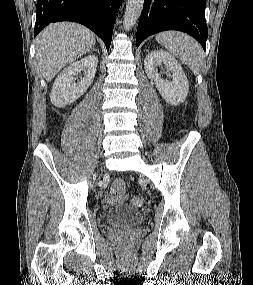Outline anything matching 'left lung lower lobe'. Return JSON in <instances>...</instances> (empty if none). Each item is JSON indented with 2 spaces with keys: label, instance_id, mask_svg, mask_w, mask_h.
I'll list each match as a JSON object with an SVG mask.
<instances>
[{
  "label": "left lung lower lobe",
  "instance_id": "1",
  "mask_svg": "<svg viewBox=\"0 0 253 285\" xmlns=\"http://www.w3.org/2000/svg\"><path fill=\"white\" fill-rule=\"evenodd\" d=\"M137 27L136 45L148 36L178 30L193 36L205 50L208 29L205 21L206 0H144Z\"/></svg>",
  "mask_w": 253,
  "mask_h": 285
}]
</instances>
